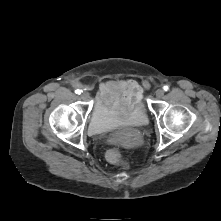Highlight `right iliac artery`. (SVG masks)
Listing matches in <instances>:
<instances>
[{
  "label": "right iliac artery",
  "mask_w": 221,
  "mask_h": 221,
  "mask_svg": "<svg viewBox=\"0 0 221 221\" xmlns=\"http://www.w3.org/2000/svg\"><path fill=\"white\" fill-rule=\"evenodd\" d=\"M81 92H82V90H79V89L75 90L76 94H80Z\"/></svg>",
  "instance_id": "82829eb1"
}]
</instances>
